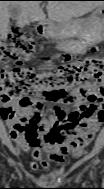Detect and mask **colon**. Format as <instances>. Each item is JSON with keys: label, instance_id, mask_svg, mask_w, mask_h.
Returning a JSON list of instances; mask_svg holds the SVG:
<instances>
[{"label": "colon", "instance_id": "5ec220e1", "mask_svg": "<svg viewBox=\"0 0 104 189\" xmlns=\"http://www.w3.org/2000/svg\"><path fill=\"white\" fill-rule=\"evenodd\" d=\"M35 52V43L17 30L11 31L3 40L0 54L4 61L14 63L1 75V92L4 101L27 104L38 96L55 100L65 96L68 87L90 83L100 94L104 84V60L97 56L67 61L53 69L35 71L22 67Z\"/></svg>", "mask_w": 104, "mask_h": 189}]
</instances>
